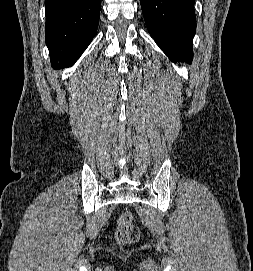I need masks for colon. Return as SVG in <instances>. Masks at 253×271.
I'll list each match as a JSON object with an SVG mask.
<instances>
[{"instance_id":"5ec220e1","label":"colon","mask_w":253,"mask_h":271,"mask_svg":"<svg viewBox=\"0 0 253 271\" xmlns=\"http://www.w3.org/2000/svg\"><path fill=\"white\" fill-rule=\"evenodd\" d=\"M115 237L117 242L122 245L132 244L139 239L140 230L134 224L131 212L125 211L119 216Z\"/></svg>"}]
</instances>
